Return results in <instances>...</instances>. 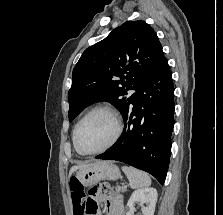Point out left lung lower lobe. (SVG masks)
<instances>
[{
	"label": "left lung lower lobe",
	"instance_id": "obj_1",
	"mask_svg": "<svg viewBox=\"0 0 223 215\" xmlns=\"http://www.w3.org/2000/svg\"><path fill=\"white\" fill-rule=\"evenodd\" d=\"M174 107L172 73L164 59L135 93L123 115L125 125L121 137L96 158L127 163L164 184L170 162Z\"/></svg>",
	"mask_w": 223,
	"mask_h": 215
}]
</instances>
